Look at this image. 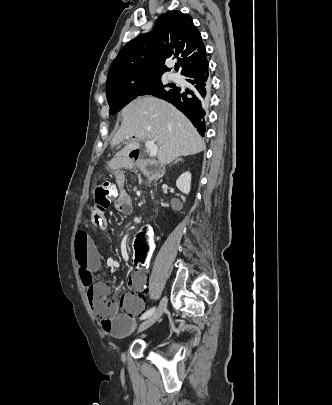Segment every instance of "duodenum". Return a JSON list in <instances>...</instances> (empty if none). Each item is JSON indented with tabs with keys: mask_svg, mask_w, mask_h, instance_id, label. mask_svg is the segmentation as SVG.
<instances>
[{
	"mask_svg": "<svg viewBox=\"0 0 332 405\" xmlns=\"http://www.w3.org/2000/svg\"><path fill=\"white\" fill-rule=\"evenodd\" d=\"M130 158H131V160H133V161H138L139 160V154H138V152H131L130 153ZM151 171H153L154 173H155V175H157V176H159L160 174H159V172H158V170H157V167L156 166H152L151 167Z\"/></svg>",
	"mask_w": 332,
	"mask_h": 405,
	"instance_id": "obj_1",
	"label": "duodenum"
}]
</instances>
